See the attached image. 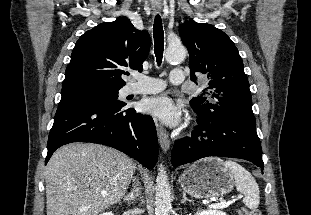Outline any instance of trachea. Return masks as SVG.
I'll return each instance as SVG.
<instances>
[{
    "instance_id": "obj_1",
    "label": "trachea",
    "mask_w": 311,
    "mask_h": 215,
    "mask_svg": "<svg viewBox=\"0 0 311 215\" xmlns=\"http://www.w3.org/2000/svg\"><path fill=\"white\" fill-rule=\"evenodd\" d=\"M153 35H154V53L156 56L157 64L162 63L163 51H164V31L162 26V20L159 15L155 16L153 25Z\"/></svg>"
}]
</instances>
